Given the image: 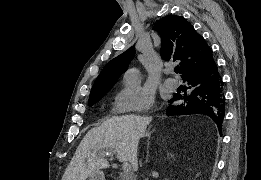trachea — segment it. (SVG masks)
<instances>
[{
    "mask_svg": "<svg viewBox=\"0 0 261 180\" xmlns=\"http://www.w3.org/2000/svg\"><path fill=\"white\" fill-rule=\"evenodd\" d=\"M174 71H175L176 73H178V72H179V67H175Z\"/></svg>",
    "mask_w": 261,
    "mask_h": 180,
    "instance_id": "3493384b",
    "label": "trachea"
}]
</instances>
